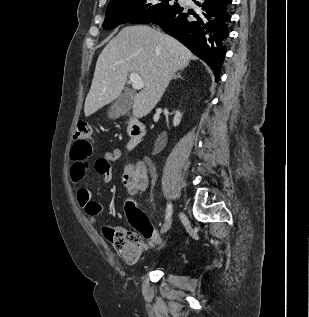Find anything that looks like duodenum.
<instances>
[{"mask_svg": "<svg viewBox=\"0 0 309 317\" xmlns=\"http://www.w3.org/2000/svg\"><path fill=\"white\" fill-rule=\"evenodd\" d=\"M127 132L129 135V148L136 147L145 135V126L133 115L129 116Z\"/></svg>", "mask_w": 309, "mask_h": 317, "instance_id": "1", "label": "duodenum"}]
</instances>
